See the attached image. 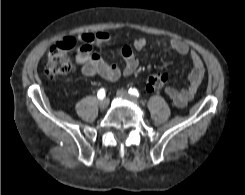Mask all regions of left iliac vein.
I'll return each instance as SVG.
<instances>
[{
  "label": "left iliac vein",
  "instance_id": "obj_1",
  "mask_svg": "<svg viewBox=\"0 0 245 195\" xmlns=\"http://www.w3.org/2000/svg\"><path fill=\"white\" fill-rule=\"evenodd\" d=\"M117 96L124 98V99L132 102L133 104H137V100L133 96H131L127 91H125L123 89H120L117 91Z\"/></svg>",
  "mask_w": 245,
  "mask_h": 195
}]
</instances>
